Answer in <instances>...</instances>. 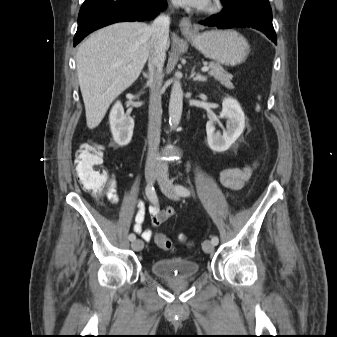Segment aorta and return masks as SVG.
<instances>
[{
  "label": "aorta",
  "mask_w": 337,
  "mask_h": 337,
  "mask_svg": "<svg viewBox=\"0 0 337 337\" xmlns=\"http://www.w3.org/2000/svg\"><path fill=\"white\" fill-rule=\"evenodd\" d=\"M182 110H183V91L179 79V73H175L169 102L170 124L174 126L179 124L182 116Z\"/></svg>",
  "instance_id": "obj_1"
}]
</instances>
